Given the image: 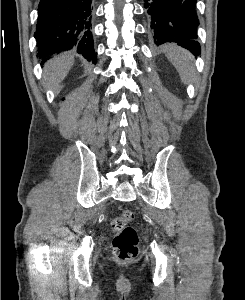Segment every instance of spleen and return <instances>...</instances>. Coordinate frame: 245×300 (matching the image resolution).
<instances>
[{"label": "spleen", "instance_id": "obj_1", "mask_svg": "<svg viewBox=\"0 0 245 300\" xmlns=\"http://www.w3.org/2000/svg\"><path fill=\"white\" fill-rule=\"evenodd\" d=\"M165 55L177 69L182 81L188 82L194 74L191 54L184 49L170 46L166 49Z\"/></svg>", "mask_w": 245, "mask_h": 300}]
</instances>
